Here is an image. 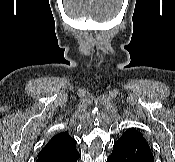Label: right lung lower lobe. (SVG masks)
I'll use <instances>...</instances> for the list:
<instances>
[{
    "instance_id": "right-lung-lower-lobe-1",
    "label": "right lung lower lobe",
    "mask_w": 175,
    "mask_h": 162,
    "mask_svg": "<svg viewBox=\"0 0 175 162\" xmlns=\"http://www.w3.org/2000/svg\"><path fill=\"white\" fill-rule=\"evenodd\" d=\"M80 154L75 149L69 151H58L45 153L38 156L36 162H77Z\"/></svg>"
}]
</instances>
